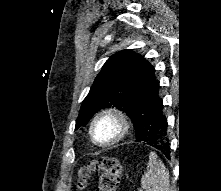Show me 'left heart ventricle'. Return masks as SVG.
<instances>
[{
	"label": "left heart ventricle",
	"mask_w": 221,
	"mask_h": 191,
	"mask_svg": "<svg viewBox=\"0 0 221 191\" xmlns=\"http://www.w3.org/2000/svg\"><path fill=\"white\" fill-rule=\"evenodd\" d=\"M117 133V124L112 119H104L100 121L94 130L95 139L98 142H106L113 138Z\"/></svg>",
	"instance_id": "b2bd125f"
}]
</instances>
